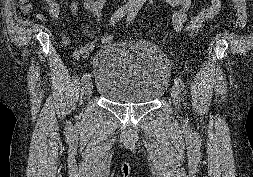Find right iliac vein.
Instances as JSON below:
<instances>
[{"label": "right iliac vein", "instance_id": "1", "mask_svg": "<svg viewBox=\"0 0 253 177\" xmlns=\"http://www.w3.org/2000/svg\"><path fill=\"white\" fill-rule=\"evenodd\" d=\"M92 91H93V82L88 81L84 86L85 96L89 97L91 95Z\"/></svg>", "mask_w": 253, "mask_h": 177}]
</instances>
